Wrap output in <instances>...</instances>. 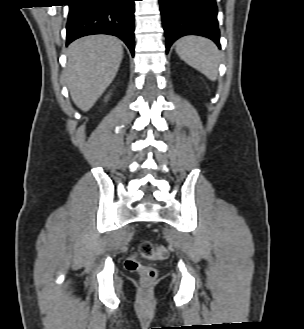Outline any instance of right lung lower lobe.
I'll return each mask as SVG.
<instances>
[{
	"label": "right lung lower lobe",
	"instance_id": "1",
	"mask_svg": "<svg viewBox=\"0 0 304 329\" xmlns=\"http://www.w3.org/2000/svg\"><path fill=\"white\" fill-rule=\"evenodd\" d=\"M67 44L86 35L122 39L134 56L135 0H68Z\"/></svg>",
	"mask_w": 304,
	"mask_h": 329
}]
</instances>
